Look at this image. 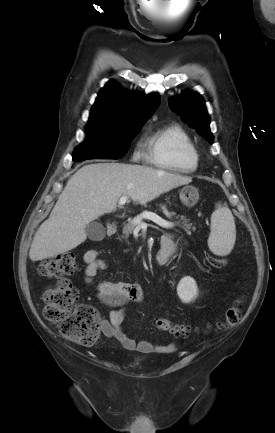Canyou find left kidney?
Masks as SVG:
<instances>
[{
    "instance_id": "1",
    "label": "left kidney",
    "mask_w": 275,
    "mask_h": 433,
    "mask_svg": "<svg viewBox=\"0 0 275 433\" xmlns=\"http://www.w3.org/2000/svg\"><path fill=\"white\" fill-rule=\"evenodd\" d=\"M177 294L183 303L194 301L198 295L196 281L190 276L182 278L177 286Z\"/></svg>"
}]
</instances>
